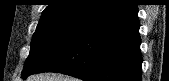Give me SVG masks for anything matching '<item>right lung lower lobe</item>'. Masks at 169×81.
Returning a JSON list of instances; mask_svg holds the SVG:
<instances>
[{"label": "right lung lower lobe", "mask_w": 169, "mask_h": 81, "mask_svg": "<svg viewBox=\"0 0 169 81\" xmlns=\"http://www.w3.org/2000/svg\"><path fill=\"white\" fill-rule=\"evenodd\" d=\"M137 13V5L126 1L86 21L30 74L58 72L84 81H141Z\"/></svg>", "instance_id": "1"}]
</instances>
